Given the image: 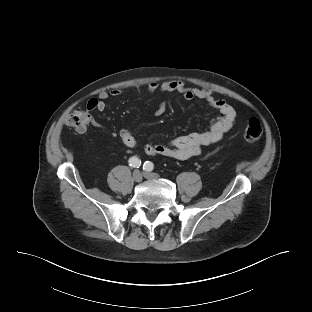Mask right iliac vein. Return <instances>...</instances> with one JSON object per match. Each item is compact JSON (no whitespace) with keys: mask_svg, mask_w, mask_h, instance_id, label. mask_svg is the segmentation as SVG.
Listing matches in <instances>:
<instances>
[{"mask_svg":"<svg viewBox=\"0 0 312 312\" xmlns=\"http://www.w3.org/2000/svg\"><path fill=\"white\" fill-rule=\"evenodd\" d=\"M142 173L139 170H135L133 172V179L135 182H141L142 181Z\"/></svg>","mask_w":312,"mask_h":312,"instance_id":"1","label":"right iliac vein"}]
</instances>
